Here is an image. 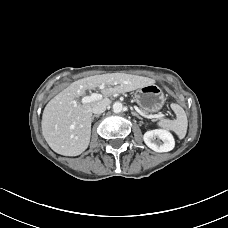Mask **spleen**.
Listing matches in <instances>:
<instances>
[{"label":"spleen","mask_w":228,"mask_h":228,"mask_svg":"<svg viewBox=\"0 0 228 228\" xmlns=\"http://www.w3.org/2000/svg\"><path fill=\"white\" fill-rule=\"evenodd\" d=\"M172 110L176 114V119H163L158 122V126L175 132L180 139L184 138L187 132L188 120L184 109L178 104H171Z\"/></svg>","instance_id":"1"}]
</instances>
